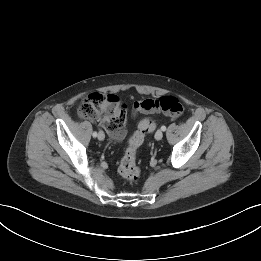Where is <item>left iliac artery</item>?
Instances as JSON below:
<instances>
[{
	"label": "left iliac artery",
	"mask_w": 261,
	"mask_h": 261,
	"mask_svg": "<svg viewBox=\"0 0 261 261\" xmlns=\"http://www.w3.org/2000/svg\"><path fill=\"white\" fill-rule=\"evenodd\" d=\"M161 130H162V131H165V130H166V127H165V126H162V127H161Z\"/></svg>",
	"instance_id": "obj_1"
}]
</instances>
